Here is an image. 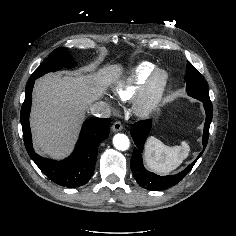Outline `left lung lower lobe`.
Wrapping results in <instances>:
<instances>
[{"label":"left lung lower lobe","mask_w":236,"mask_h":236,"mask_svg":"<svg viewBox=\"0 0 236 236\" xmlns=\"http://www.w3.org/2000/svg\"><path fill=\"white\" fill-rule=\"evenodd\" d=\"M206 111V121L203 131V151L207 145L209 137V127L213 116V107L211 101H202ZM151 128V121L143 120L136 122L131 127V136L134 140L136 147L134 148L130 166L134 174V178L140 186L148 190H165L169 187L175 186L179 183L192 169L198 158L202 155L203 151L198 155L197 159L191 163L182 172L176 175L159 176L154 173L147 171L142 163V152L144 143L147 139Z\"/></svg>","instance_id":"left-lung-lower-lobe-1"}]
</instances>
